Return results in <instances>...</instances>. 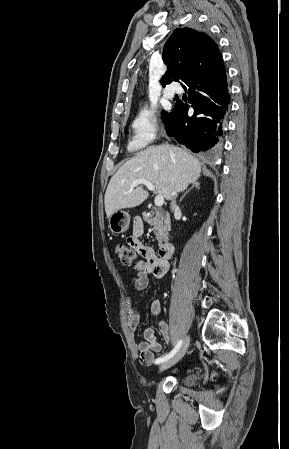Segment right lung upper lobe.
<instances>
[{"instance_id":"cb5924a9","label":"right lung upper lobe","mask_w":289,"mask_h":449,"mask_svg":"<svg viewBox=\"0 0 289 449\" xmlns=\"http://www.w3.org/2000/svg\"><path fill=\"white\" fill-rule=\"evenodd\" d=\"M167 72L163 86L179 81L184 87L208 77L223 65L218 46L207 34L192 28H177L163 48Z\"/></svg>"}]
</instances>
